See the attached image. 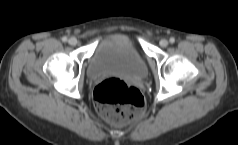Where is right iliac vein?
<instances>
[{"label":"right iliac vein","mask_w":238,"mask_h":145,"mask_svg":"<svg viewBox=\"0 0 238 145\" xmlns=\"http://www.w3.org/2000/svg\"><path fill=\"white\" fill-rule=\"evenodd\" d=\"M68 43H69L71 46H75V45L78 43V41H77V39H76L75 37H71V38L69 39Z\"/></svg>","instance_id":"63e3f726"}]
</instances>
